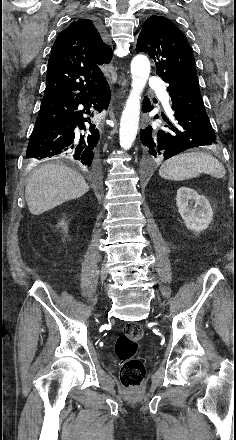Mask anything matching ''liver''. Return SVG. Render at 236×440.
Here are the masks:
<instances>
[{
	"label": "liver",
	"instance_id": "1",
	"mask_svg": "<svg viewBox=\"0 0 236 440\" xmlns=\"http://www.w3.org/2000/svg\"><path fill=\"white\" fill-rule=\"evenodd\" d=\"M89 191L85 179L63 165L48 164L35 170L25 188V199L33 215H40Z\"/></svg>",
	"mask_w": 236,
	"mask_h": 440
}]
</instances>
